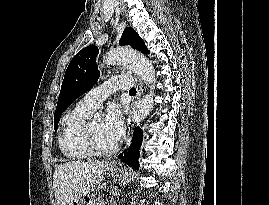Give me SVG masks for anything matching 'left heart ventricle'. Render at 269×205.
<instances>
[{
  "label": "left heart ventricle",
  "mask_w": 269,
  "mask_h": 205,
  "mask_svg": "<svg viewBox=\"0 0 269 205\" xmlns=\"http://www.w3.org/2000/svg\"><path fill=\"white\" fill-rule=\"evenodd\" d=\"M90 130L96 143L99 145V147L103 149H109L115 145L110 140H108L103 134L101 121H96V122L91 123Z\"/></svg>",
  "instance_id": "1"
}]
</instances>
